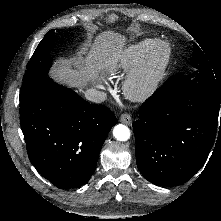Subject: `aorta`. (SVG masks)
I'll list each match as a JSON object with an SVG mask.
<instances>
[{"label": "aorta", "mask_w": 221, "mask_h": 221, "mask_svg": "<svg viewBox=\"0 0 221 221\" xmlns=\"http://www.w3.org/2000/svg\"><path fill=\"white\" fill-rule=\"evenodd\" d=\"M113 135L118 141H127L130 138V130L123 124H118L113 129Z\"/></svg>", "instance_id": "762f6f07"}]
</instances>
